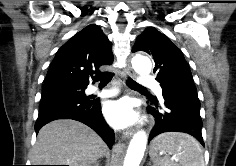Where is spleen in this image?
Masks as SVG:
<instances>
[{"label":"spleen","instance_id":"1","mask_svg":"<svg viewBox=\"0 0 236 166\" xmlns=\"http://www.w3.org/2000/svg\"><path fill=\"white\" fill-rule=\"evenodd\" d=\"M152 145L158 166H205L199 143L188 134L163 133Z\"/></svg>","mask_w":236,"mask_h":166}]
</instances>
